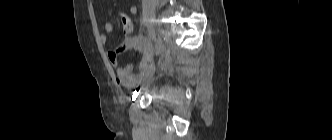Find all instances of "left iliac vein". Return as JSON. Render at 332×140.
I'll return each mask as SVG.
<instances>
[{"instance_id":"left-iliac-vein-1","label":"left iliac vein","mask_w":332,"mask_h":140,"mask_svg":"<svg viewBox=\"0 0 332 140\" xmlns=\"http://www.w3.org/2000/svg\"><path fill=\"white\" fill-rule=\"evenodd\" d=\"M155 47H156V54L157 55L161 54L164 50V44H163V41H162V39L159 35L157 36Z\"/></svg>"}]
</instances>
